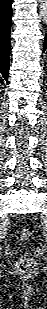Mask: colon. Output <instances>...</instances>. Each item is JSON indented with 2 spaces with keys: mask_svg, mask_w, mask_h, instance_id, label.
I'll list each match as a JSON object with an SVG mask.
<instances>
[{
  "mask_svg": "<svg viewBox=\"0 0 47 309\" xmlns=\"http://www.w3.org/2000/svg\"><path fill=\"white\" fill-rule=\"evenodd\" d=\"M31 237V231L27 228L22 229L20 232V238L22 240H28ZM37 267V263L34 259L24 257L18 262V270L23 274L32 273Z\"/></svg>",
  "mask_w": 47,
  "mask_h": 309,
  "instance_id": "1",
  "label": "colon"
}]
</instances>
